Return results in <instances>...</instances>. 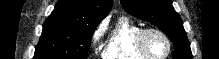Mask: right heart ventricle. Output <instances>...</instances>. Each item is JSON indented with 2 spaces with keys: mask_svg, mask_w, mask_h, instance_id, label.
Masks as SVG:
<instances>
[{
  "mask_svg": "<svg viewBox=\"0 0 219 59\" xmlns=\"http://www.w3.org/2000/svg\"><path fill=\"white\" fill-rule=\"evenodd\" d=\"M142 27L127 16H121L108 35L103 59H148L138 52L137 36Z\"/></svg>",
  "mask_w": 219,
  "mask_h": 59,
  "instance_id": "right-heart-ventricle-1",
  "label": "right heart ventricle"
}]
</instances>
